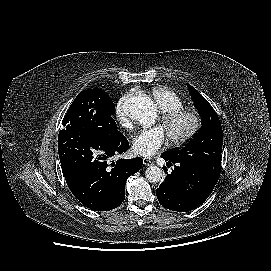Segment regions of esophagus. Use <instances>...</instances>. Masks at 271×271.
<instances>
[{"label":"esophagus","instance_id":"obj_1","mask_svg":"<svg viewBox=\"0 0 271 271\" xmlns=\"http://www.w3.org/2000/svg\"><path fill=\"white\" fill-rule=\"evenodd\" d=\"M143 164L147 167L154 165V163L147 158H143Z\"/></svg>","mask_w":271,"mask_h":271}]
</instances>
